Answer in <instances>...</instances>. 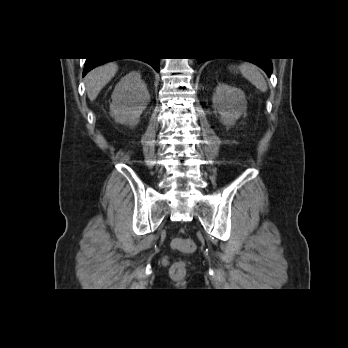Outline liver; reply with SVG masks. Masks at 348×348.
<instances>
[{
	"instance_id": "liver-1",
	"label": "liver",
	"mask_w": 348,
	"mask_h": 348,
	"mask_svg": "<svg viewBox=\"0 0 348 348\" xmlns=\"http://www.w3.org/2000/svg\"><path fill=\"white\" fill-rule=\"evenodd\" d=\"M118 66L114 62L101 65L90 71L86 78V91L90 101H94L101 89L115 76Z\"/></svg>"
}]
</instances>
